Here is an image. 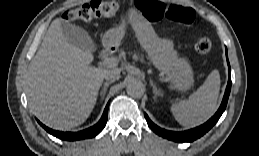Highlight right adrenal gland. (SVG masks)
I'll return each mask as SVG.
<instances>
[{
	"instance_id": "2a0ac1e0",
	"label": "right adrenal gland",
	"mask_w": 259,
	"mask_h": 156,
	"mask_svg": "<svg viewBox=\"0 0 259 156\" xmlns=\"http://www.w3.org/2000/svg\"><path fill=\"white\" fill-rule=\"evenodd\" d=\"M110 84H112L111 81L104 83V86H103V88H102V91L100 92V95H101V99H102V100L104 99L105 94H106V92H107V88H108V86H109Z\"/></svg>"
}]
</instances>
